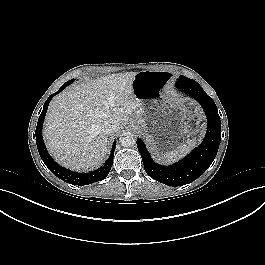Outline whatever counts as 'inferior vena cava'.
I'll list each match as a JSON object with an SVG mask.
<instances>
[{"label": "inferior vena cava", "mask_w": 265, "mask_h": 265, "mask_svg": "<svg viewBox=\"0 0 265 265\" xmlns=\"http://www.w3.org/2000/svg\"><path fill=\"white\" fill-rule=\"evenodd\" d=\"M117 126L113 120L104 121L101 130L104 134L110 135L116 130Z\"/></svg>", "instance_id": "1"}]
</instances>
